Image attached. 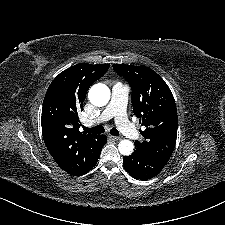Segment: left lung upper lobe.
Segmentation results:
<instances>
[{"label": "left lung upper lobe", "mask_w": 225, "mask_h": 225, "mask_svg": "<svg viewBox=\"0 0 225 225\" xmlns=\"http://www.w3.org/2000/svg\"><path fill=\"white\" fill-rule=\"evenodd\" d=\"M132 88V104L139 122L146 127L143 143L135 147L147 154L168 161L177 138L178 117L174 97L165 81L146 66L114 64Z\"/></svg>", "instance_id": "5c2ea615"}]
</instances>
